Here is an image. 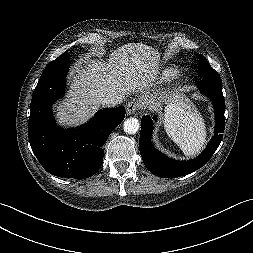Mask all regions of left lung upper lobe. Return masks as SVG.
<instances>
[{
  "instance_id": "left-lung-upper-lobe-1",
  "label": "left lung upper lobe",
  "mask_w": 253,
  "mask_h": 253,
  "mask_svg": "<svg viewBox=\"0 0 253 253\" xmlns=\"http://www.w3.org/2000/svg\"><path fill=\"white\" fill-rule=\"evenodd\" d=\"M198 72L203 78H208L216 81H221L218 73L209 65L206 58L203 55L199 57Z\"/></svg>"
}]
</instances>
